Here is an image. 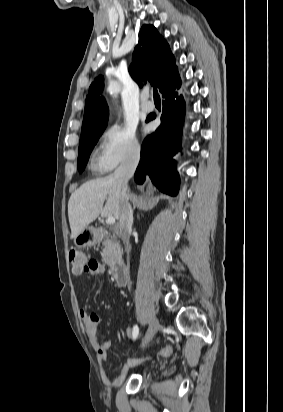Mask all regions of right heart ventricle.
I'll list each match as a JSON object with an SVG mask.
<instances>
[{"label": "right heart ventricle", "mask_w": 283, "mask_h": 412, "mask_svg": "<svg viewBox=\"0 0 283 412\" xmlns=\"http://www.w3.org/2000/svg\"><path fill=\"white\" fill-rule=\"evenodd\" d=\"M94 166H95L97 169H99L97 160H96V164H95Z\"/></svg>", "instance_id": "1"}]
</instances>
